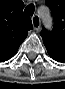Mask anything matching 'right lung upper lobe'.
Segmentation results:
<instances>
[{
  "label": "right lung upper lobe",
  "instance_id": "right-lung-upper-lobe-1",
  "mask_svg": "<svg viewBox=\"0 0 65 89\" xmlns=\"http://www.w3.org/2000/svg\"><path fill=\"white\" fill-rule=\"evenodd\" d=\"M23 8L20 0H0V62L13 57L28 31L33 29Z\"/></svg>",
  "mask_w": 65,
  "mask_h": 89
}]
</instances>
